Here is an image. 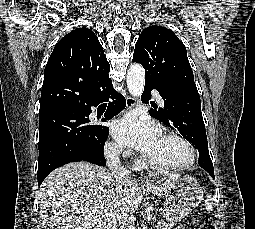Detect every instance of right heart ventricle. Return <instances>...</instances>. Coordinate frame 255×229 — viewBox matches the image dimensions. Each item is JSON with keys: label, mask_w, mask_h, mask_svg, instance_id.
I'll use <instances>...</instances> for the list:
<instances>
[{"label": "right heart ventricle", "mask_w": 255, "mask_h": 229, "mask_svg": "<svg viewBox=\"0 0 255 229\" xmlns=\"http://www.w3.org/2000/svg\"><path fill=\"white\" fill-rule=\"evenodd\" d=\"M145 167H146V165L143 162H137L135 164V168H137V169H141V168H145Z\"/></svg>", "instance_id": "right-heart-ventricle-1"}]
</instances>
